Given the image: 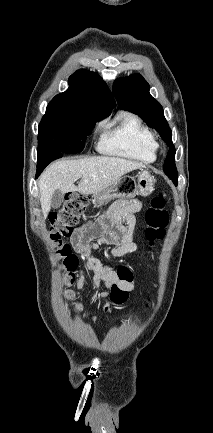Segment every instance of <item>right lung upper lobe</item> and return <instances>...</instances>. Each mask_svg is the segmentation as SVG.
Here are the masks:
<instances>
[{
    "label": "right lung upper lobe",
    "mask_w": 213,
    "mask_h": 433,
    "mask_svg": "<svg viewBox=\"0 0 213 433\" xmlns=\"http://www.w3.org/2000/svg\"><path fill=\"white\" fill-rule=\"evenodd\" d=\"M68 84L69 88L56 95L50 106L75 109L100 120L116 106L108 86L95 72L77 70L70 76Z\"/></svg>",
    "instance_id": "right-lung-upper-lobe-1"
}]
</instances>
